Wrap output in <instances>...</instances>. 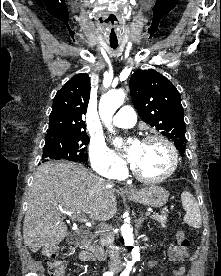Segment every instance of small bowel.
Wrapping results in <instances>:
<instances>
[{"label": "small bowel", "instance_id": "small-bowel-1", "mask_svg": "<svg viewBox=\"0 0 221 276\" xmlns=\"http://www.w3.org/2000/svg\"><path fill=\"white\" fill-rule=\"evenodd\" d=\"M79 257L82 261H92L93 260V258L85 252H81ZM168 257H169L170 261L177 264V267L173 271L174 276H183L185 273V267L182 263L188 258L187 249H184V248H181L178 246H174L169 250ZM154 265H155V262L151 261L148 264V268H152Z\"/></svg>", "mask_w": 221, "mask_h": 276}]
</instances>
